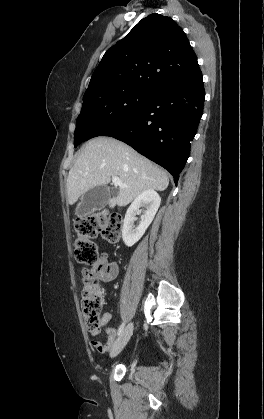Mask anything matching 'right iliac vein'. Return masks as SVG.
Instances as JSON below:
<instances>
[{
	"label": "right iliac vein",
	"mask_w": 264,
	"mask_h": 419,
	"mask_svg": "<svg viewBox=\"0 0 264 419\" xmlns=\"http://www.w3.org/2000/svg\"><path fill=\"white\" fill-rule=\"evenodd\" d=\"M132 332H133V324L129 323L125 327V329L123 330L121 335L118 337L116 342L114 343V345L111 349V352H110L111 357L117 356L123 350V348L125 347V345L129 341V339L132 335Z\"/></svg>",
	"instance_id": "obj_1"
}]
</instances>
